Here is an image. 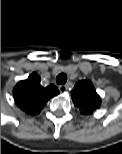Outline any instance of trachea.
Segmentation results:
<instances>
[{"label":"trachea","mask_w":122,"mask_h":154,"mask_svg":"<svg viewBox=\"0 0 122 154\" xmlns=\"http://www.w3.org/2000/svg\"><path fill=\"white\" fill-rule=\"evenodd\" d=\"M56 82L57 84L63 85L67 82V75L64 73H60L57 77H56Z\"/></svg>","instance_id":"3493384b"}]
</instances>
